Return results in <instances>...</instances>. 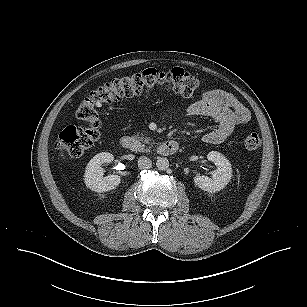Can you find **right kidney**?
<instances>
[{
  "label": "right kidney",
  "mask_w": 307,
  "mask_h": 307,
  "mask_svg": "<svg viewBox=\"0 0 307 307\" xmlns=\"http://www.w3.org/2000/svg\"><path fill=\"white\" fill-rule=\"evenodd\" d=\"M114 160V156L109 152H101L95 155L87 164L84 182L86 186L95 192H106L116 188L120 184V176L104 175L101 167L103 163H110Z\"/></svg>",
  "instance_id": "1"
}]
</instances>
